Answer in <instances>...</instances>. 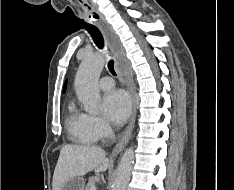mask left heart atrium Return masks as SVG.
<instances>
[{"label": "left heart atrium", "mask_w": 234, "mask_h": 190, "mask_svg": "<svg viewBox=\"0 0 234 190\" xmlns=\"http://www.w3.org/2000/svg\"><path fill=\"white\" fill-rule=\"evenodd\" d=\"M106 117L115 124H122L131 111V99L124 90L108 93L103 100Z\"/></svg>", "instance_id": "1"}]
</instances>
